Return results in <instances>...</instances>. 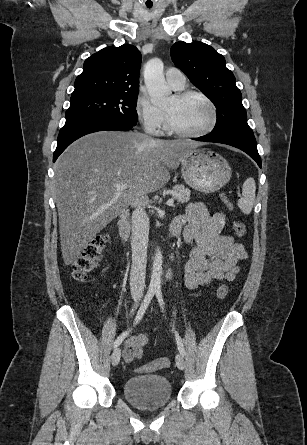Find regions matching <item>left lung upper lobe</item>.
<instances>
[{
  "label": "left lung upper lobe",
  "mask_w": 307,
  "mask_h": 445,
  "mask_svg": "<svg viewBox=\"0 0 307 445\" xmlns=\"http://www.w3.org/2000/svg\"><path fill=\"white\" fill-rule=\"evenodd\" d=\"M171 57L175 65L217 108V121L211 133H253L247 123L242 95L235 84V77L226 68L221 54L199 41H180L171 47Z\"/></svg>",
  "instance_id": "obj_1"
}]
</instances>
